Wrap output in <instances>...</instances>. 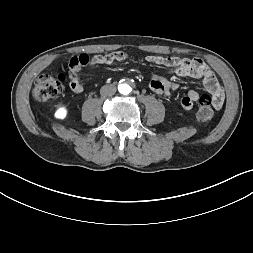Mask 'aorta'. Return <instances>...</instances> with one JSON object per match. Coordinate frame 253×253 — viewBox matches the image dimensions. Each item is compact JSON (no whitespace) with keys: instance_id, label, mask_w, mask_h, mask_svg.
Returning <instances> with one entry per match:
<instances>
[{"instance_id":"762f6f07","label":"aorta","mask_w":253,"mask_h":253,"mask_svg":"<svg viewBox=\"0 0 253 253\" xmlns=\"http://www.w3.org/2000/svg\"><path fill=\"white\" fill-rule=\"evenodd\" d=\"M118 90L121 94H129L132 91V88L130 85L123 83L118 86Z\"/></svg>"}]
</instances>
